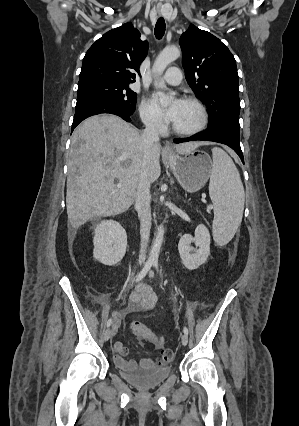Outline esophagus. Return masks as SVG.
I'll return each instance as SVG.
<instances>
[{"mask_svg": "<svg viewBox=\"0 0 299 426\" xmlns=\"http://www.w3.org/2000/svg\"><path fill=\"white\" fill-rule=\"evenodd\" d=\"M159 14H163L162 10L159 11ZM164 153L167 154V155L172 154V149H171L170 144H166L165 145V147H164Z\"/></svg>", "mask_w": 299, "mask_h": 426, "instance_id": "esophagus-1", "label": "esophagus"}]
</instances>
